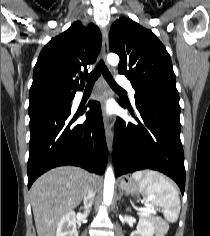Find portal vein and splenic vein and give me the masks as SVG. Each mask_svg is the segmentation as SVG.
I'll list each match as a JSON object with an SVG mask.
<instances>
[{"label":"portal vein and splenic vein","instance_id":"18ae733b","mask_svg":"<svg viewBox=\"0 0 210 236\" xmlns=\"http://www.w3.org/2000/svg\"><path fill=\"white\" fill-rule=\"evenodd\" d=\"M146 206H147V208H146V209H143L142 211H143L146 215H149V214L153 211V209H150L149 205H146Z\"/></svg>","mask_w":210,"mask_h":236}]
</instances>
